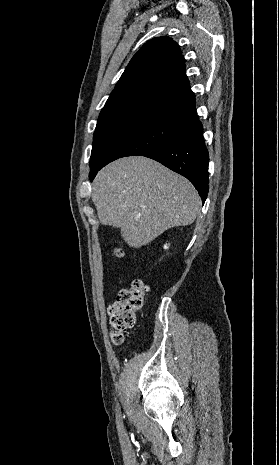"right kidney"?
<instances>
[{
    "label": "right kidney",
    "instance_id": "obj_1",
    "mask_svg": "<svg viewBox=\"0 0 279 465\" xmlns=\"http://www.w3.org/2000/svg\"><path fill=\"white\" fill-rule=\"evenodd\" d=\"M167 248H168V246H167V245H165V246H164V249H167Z\"/></svg>",
    "mask_w": 279,
    "mask_h": 465
}]
</instances>
